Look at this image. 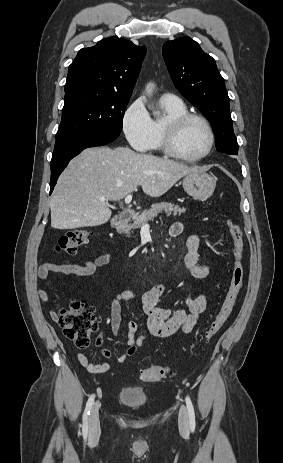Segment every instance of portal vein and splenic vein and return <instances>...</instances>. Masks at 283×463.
I'll use <instances>...</instances> for the list:
<instances>
[{"label":"portal vein and splenic vein","mask_w":283,"mask_h":463,"mask_svg":"<svg viewBox=\"0 0 283 463\" xmlns=\"http://www.w3.org/2000/svg\"><path fill=\"white\" fill-rule=\"evenodd\" d=\"M100 200L103 201V202L105 201L104 198H101ZM131 201H132V195H131V194H128V195L125 197V203H126V204H130Z\"/></svg>","instance_id":"portal-vein-and-splenic-vein-1"}]
</instances>
